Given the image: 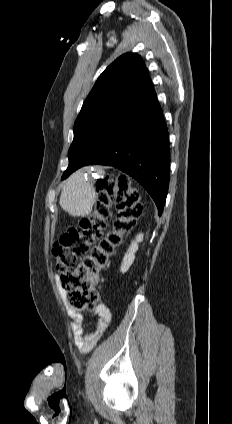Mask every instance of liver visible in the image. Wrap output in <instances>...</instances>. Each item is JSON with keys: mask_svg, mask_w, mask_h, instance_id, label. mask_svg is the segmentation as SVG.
Masks as SVG:
<instances>
[{"mask_svg": "<svg viewBox=\"0 0 232 424\" xmlns=\"http://www.w3.org/2000/svg\"><path fill=\"white\" fill-rule=\"evenodd\" d=\"M94 170L102 171L100 167H94ZM95 202L96 195L89 182L84 179L83 171L73 173L66 180L61 192L59 203L62 209L71 216L84 217L91 214Z\"/></svg>", "mask_w": 232, "mask_h": 424, "instance_id": "6515ba94", "label": "liver"}]
</instances>
